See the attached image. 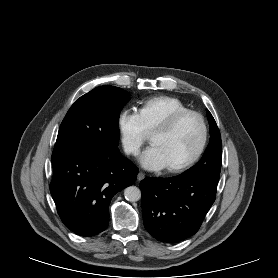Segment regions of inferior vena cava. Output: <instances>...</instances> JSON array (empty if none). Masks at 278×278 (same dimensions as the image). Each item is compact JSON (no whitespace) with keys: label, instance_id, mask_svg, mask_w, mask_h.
Segmentation results:
<instances>
[{"label":"inferior vena cava","instance_id":"602c4592","mask_svg":"<svg viewBox=\"0 0 278 278\" xmlns=\"http://www.w3.org/2000/svg\"><path fill=\"white\" fill-rule=\"evenodd\" d=\"M131 151H134V149L125 148L126 153H130Z\"/></svg>","mask_w":278,"mask_h":278}]
</instances>
